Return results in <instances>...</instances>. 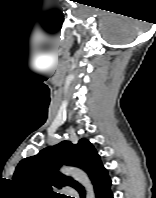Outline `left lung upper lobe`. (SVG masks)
I'll list each match as a JSON object with an SVG mask.
<instances>
[{"label":"left lung upper lobe","mask_w":156,"mask_h":198,"mask_svg":"<svg viewBox=\"0 0 156 198\" xmlns=\"http://www.w3.org/2000/svg\"><path fill=\"white\" fill-rule=\"evenodd\" d=\"M61 164L77 165L84 169L92 183L106 171L94 146L83 138L76 145L62 141L21 160L13 180L28 196L34 198H58L55 190L63 186L82 191L83 187L77 181L58 171Z\"/></svg>","instance_id":"left-lung-upper-lobe-1"}]
</instances>
